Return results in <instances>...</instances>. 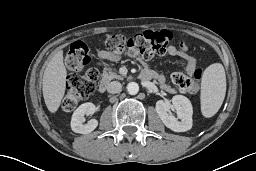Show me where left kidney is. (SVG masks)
<instances>
[{
    "instance_id": "obj_1",
    "label": "left kidney",
    "mask_w": 256,
    "mask_h": 171,
    "mask_svg": "<svg viewBox=\"0 0 256 171\" xmlns=\"http://www.w3.org/2000/svg\"><path fill=\"white\" fill-rule=\"evenodd\" d=\"M172 105L177 118L170 111V103L159 100L156 102V112L163 124L174 132H185L192 128L193 108L190 100L183 95H175L172 98ZM180 119V121L178 120Z\"/></svg>"
}]
</instances>
